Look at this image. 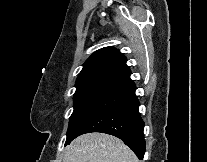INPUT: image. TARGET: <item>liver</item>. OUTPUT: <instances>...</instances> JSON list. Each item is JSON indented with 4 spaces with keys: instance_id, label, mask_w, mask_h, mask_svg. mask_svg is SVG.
Listing matches in <instances>:
<instances>
[{
    "instance_id": "1",
    "label": "liver",
    "mask_w": 207,
    "mask_h": 162,
    "mask_svg": "<svg viewBox=\"0 0 207 162\" xmlns=\"http://www.w3.org/2000/svg\"><path fill=\"white\" fill-rule=\"evenodd\" d=\"M66 162H140L120 139L105 133H87L66 147Z\"/></svg>"
}]
</instances>
